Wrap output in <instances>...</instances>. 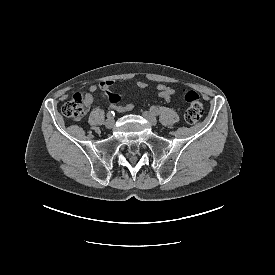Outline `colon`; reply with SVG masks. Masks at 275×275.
<instances>
[{
	"mask_svg": "<svg viewBox=\"0 0 275 275\" xmlns=\"http://www.w3.org/2000/svg\"><path fill=\"white\" fill-rule=\"evenodd\" d=\"M176 89L181 93L187 103V109L184 114L186 122H197L203 115V106L199 95L197 92L186 87L177 86ZM89 107V100L85 97V95L78 93L73 95L71 99L64 103L62 106V112L66 117L74 121H79L85 116Z\"/></svg>",
	"mask_w": 275,
	"mask_h": 275,
	"instance_id": "1",
	"label": "colon"
}]
</instances>
